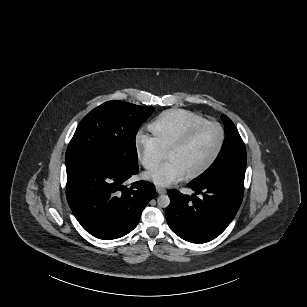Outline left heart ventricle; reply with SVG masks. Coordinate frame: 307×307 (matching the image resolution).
<instances>
[{"instance_id": "obj_1", "label": "left heart ventricle", "mask_w": 307, "mask_h": 307, "mask_svg": "<svg viewBox=\"0 0 307 307\" xmlns=\"http://www.w3.org/2000/svg\"><path fill=\"white\" fill-rule=\"evenodd\" d=\"M221 138L219 127H208L186 147L168 154L166 159L175 163L185 175H188L199 170L212 158L221 143Z\"/></svg>"}]
</instances>
